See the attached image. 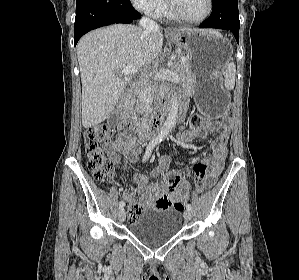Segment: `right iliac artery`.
Returning a JSON list of instances; mask_svg holds the SVG:
<instances>
[{
  "label": "right iliac artery",
  "instance_id": "right-iliac-artery-1",
  "mask_svg": "<svg viewBox=\"0 0 299 280\" xmlns=\"http://www.w3.org/2000/svg\"><path fill=\"white\" fill-rule=\"evenodd\" d=\"M157 142H158L157 140H152V141L149 143V145L147 146L145 155H144V157H143V161H146V160L149 158V156H150V154H151V152H152L154 146L157 144ZM119 205H120L121 208H123V207L125 206V202H124V201H121Z\"/></svg>",
  "mask_w": 299,
  "mask_h": 280
}]
</instances>
